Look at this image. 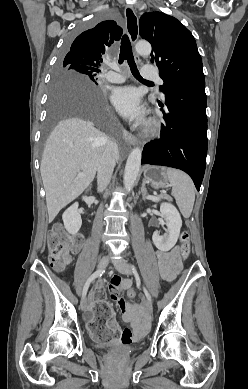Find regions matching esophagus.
<instances>
[{
    "instance_id": "1",
    "label": "esophagus",
    "mask_w": 248,
    "mask_h": 389,
    "mask_svg": "<svg viewBox=\"0 0 248 389\" xmlns=\"http://www.w3.org/2000/svg\"><path fill=\"white\" fill-rule=\"evenodd\" d=\"M125 20H126V30L130 37L132 44H135L139 37V25L138 18L132 6L127 5L125 7ZM136 59L140 60L139 56L136 55ZM125 139L130 145H136L137 139L134 135L124 130Z\"/></svg>"
}]
</instances>
